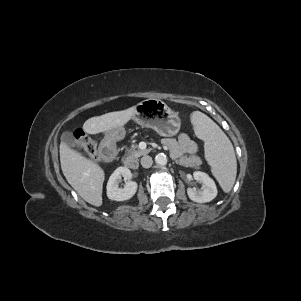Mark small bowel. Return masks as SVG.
Instances as JSON below:
<instances>
[{"mask_svg":"<svg viewBox=\"0 0 301 301\" xmlns=\"http://www.w3.org/2000/svg\"><path fill=\"white\" fill-rule=\"evenodd\" d=\"M164 144L169 149L172 157L180 163H186L185 154L193 155L198 149L197 144L184 132H181L176 140L165 139Z\"/></svg>","mask_w":301,"mask_h":301,"instance_id":"c3829d8e","label":"small bowel"}]
</instances>
